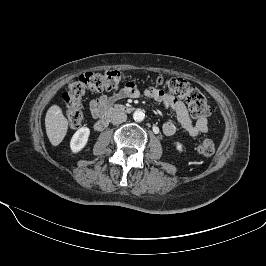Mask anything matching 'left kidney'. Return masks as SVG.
<instances>
[{"mask_svg":"<svg viewBox=\"0 0 266 266\" xmlns=\"http://www.w3.org/2000/svg\"><path fill=\"white\" fill-rule=\"evenodd\" d=\"M176 149L181 152L182 151V144H180L179 142H176Z\"/></svg>","mask_w":266,"mask_h":266,"instance_id":"5707ae66","label":"left kidney"}]
</instances>
